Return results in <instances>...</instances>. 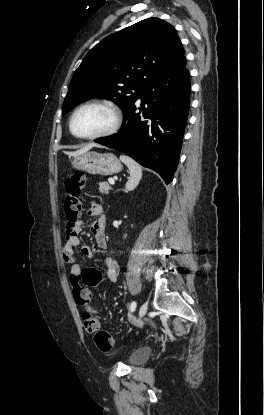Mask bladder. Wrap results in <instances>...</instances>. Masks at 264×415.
Instances as JSON below:
<instances>
[{
	"mask_svg": "<svg viewBox=\"0 0 264 415\" xmlns=\"http://www.w3.org/2000/svg\"><path fill=\"white\" fill-rule=\"evenodd\" d=\"M152 350L148 347L139 348L134 350L128 358L130 365H140L145 363L151 356Z\"/></svg>",
	"mask_w": 264,
	"mask_h": 415,
	"instance_id": "obj_1",
	"label": "bladder"
}]
</instances>
